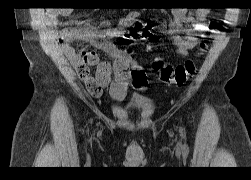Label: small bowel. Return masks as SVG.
Returning a JSON list of instances; mask_svg holds the SVG:
<instances>
[{"mask_svg": "<svg viewBox=\"0 0 251 180\" xmlns=\"http://www.w3.org/2000/svg\"><path fill=\"white\" fill-rule=\"evenodd\" d=\"M69 12L68 9L49 11L48 24L55 27L58 18L68 15ZM208 14L209 10L206 8L194 12L184 8L173 10V19L165 32L173 36V43L179 56L186 57L197 45L198 38L195 31L206 28L204 23ZM138 17L139 13L132 11L126 14L116 27H111L108 21H102L101 28L95 29L86 22H80L76 27L63 28L60 31L62 48L76 64L80 79L93 96L99 97L102 90L108 88L112 98L121 101L127 96L131 86L140 91L146 89L147 79L144 71L112 42L113 38L120 37L124 29L133 24ZM185 24H191L194 29L186 28ZM73 41L93 44L112 57L113 62L100 61L92 50H84L79 56L71 45ZM91 67H96L94 75L90 72Z\"/></svg>", "mask_w": 251, "mask_h": 180, "instance_id": "obj_1", "label": "small bowel"}]
</instances>
